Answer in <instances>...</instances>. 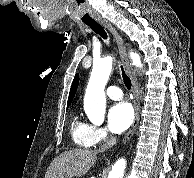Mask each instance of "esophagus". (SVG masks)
Masks as SVG:
<instances>
[{
    "mask_svg": "<svg viewBox=\"0 0 194 178\" xmlns=\"http://www.w3.org/2000/svg\"><path fill=\"white\" fill-rule=\"evenodd\" d=\"M100 24L102 26H104L105 28H107L113 34V36L117 42V45H118V49H119V53H120L122 62L125 65L126 70H127L128 74L130 75V78L132 81V94H133V106H134V110H135V118H134V121H133L131 128L129 129V131L127 132V134L124 138V142H125L133 136V134L135 133V131L138 127L139 120H140V101H139V94H138V82H137L135 71H134V69L129 61V58H128L127 48H126V44H125L124 40L119 35L116 28L112 26L111 23L106 22V21H101Z\"/></svg>",
    "mask_w": 194,
    "mask_h": 178,
    "instance_id": "esophagus-1",
    "label": "esophagus"
}]
</instances>
